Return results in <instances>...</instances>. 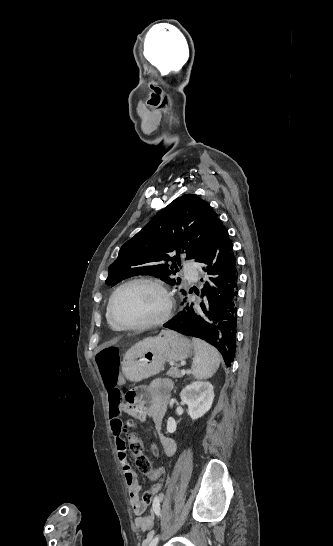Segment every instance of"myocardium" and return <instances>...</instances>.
Returning <instances> with one entry per match:
<instances>
[{
    "mask_svg": "<svg viewBox=\"0 0 333 546\" xmlns=\"http://www.w3.org/2000/svg\"><path fill=\"white\" fill-rule=\"evenodd\" d=\"M137 283L149 284L158 288L162 292L165 298V308L163 312L161 313V315L153 320H150L141 324H137V325L121 324L120 322H118V320L116 319L114 315V303H115L116 297L121 292V290H123L125 287L132 284H137ZM173 308H174L173 297L169 289L167 288V286L161 280L153 278V277H134L123 282L114 290L108 302V315H109L110 321L118 330L143 331V330L152 329V328L165 324L170 319L173 312Z\"/></svg>",
    "mask_w": 333,
    "mask_h": 546,
    "instance_id": "f54148a6",
    "label": "myocardium"
}]
</instances>
